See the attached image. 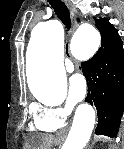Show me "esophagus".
I'll use <instances>...</instances> for the list:
<instances>
[{"label": "esophagus", "instance_id": "1", "mask_svg": "<svg viewBox=\"0 0 124 149\" xmlns=\"http://www.w3.org/2000/svg\"><path fill=\"white\" fill-rule=\"evenodd\" d=\"M64 2L66 3V5L68 6V8L70 10L71 21H72V32H73L76 27V17L78 16V13L75 10V8L72 6V4L70 3L69 0H64ZM65 132H66V130H63V133H65Z\"/></svg>", "mask_w": 124, "mask_h": 149}]
</instances>
